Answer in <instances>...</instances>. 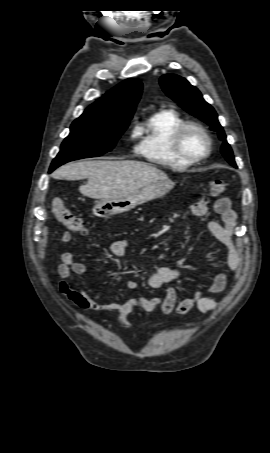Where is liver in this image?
Here are the masks:
<instances>
[{
	"label": "liver",
	"instance_id": "obj_1",
	"mask_svg": "<svg viewBox=\"0 0 270 453\" xmlns=\"http://www.w3.org/2000/svg\"><path fill=\"white\" fill-rule=\"evenodd\" d=\"M52 177L67 180L88 178L87 184L80 186L79 191L93 199L127 196L153 182L168 179L167 174L156 167L133 160L68 163L55 170Z\"/></svg>",
	"mask_w": 270,
	"mask_h": 453
}]
</instances>
